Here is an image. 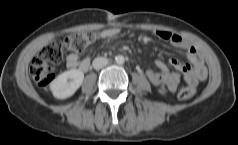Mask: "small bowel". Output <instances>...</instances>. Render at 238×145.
Masks as SVG:
<instances>
[{"instance_id": "c3829d8e", "label": "small bowel", "mask_w": 238, "mask_h": 145, "mask_svg": "<svg viewBox=\"0 0 238 145\" xmlns=\"http://www.w3.org/2000/svg\"><path fill=\"white\" fill-rule=\"evenodd\" d=\"M119 32V28H108L101 31L99 36L102 39H110L116 36ZM155 33L158 38L170 42L174 47L183 51L186 58L193 64L194 68L191 71L189 64L181 62L177 59H171V64L176 69L185 73V80L190 86L194 87L198 84V82L206 78V67L194 46L189 44L181 35L177 33L166 30H157ZM155 64L158 68L157 71L149 69L146 72L150 82L159 86L162 92L175 91L181 82L180 75L171 71L162 60H157ZM66 65L70 69L78 68L79 70L86 72L91 66V60L90 57H86L80 61L76 53H70L66 57Z\"/></svg>"}]
</instances>
